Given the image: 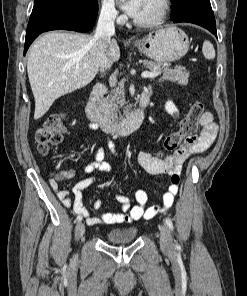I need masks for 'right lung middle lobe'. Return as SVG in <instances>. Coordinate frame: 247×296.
Instances as JSON below:
<instances>
[{"mask_svg": "<svg viewBox=\"0 0 247 296\" xmlns=\"http://www.w3.org/2000/svg\"><path fill=\"white\" fill-rule=\"evenodd\" d=\"M60 1L62 0H35L32 12ZM70 1H72L76 9L80 11L92 12V11L98 10L97 0H70Z\"/></svg>", "mask_w": 247, "mask_h": 296, "instance_id": "right-lung-middle-lobe-1", "label": "right lung middle lobe"}]
</instances>
